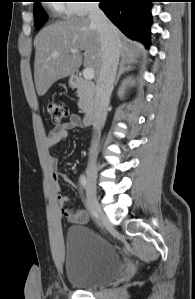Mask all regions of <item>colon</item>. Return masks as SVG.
<instances>
[{"label":"colon","instance_id":"5ec220e1","mask_svg":"<svg viewBox=\"0 0 195 299\" xmlns=\"http://www.w3.org/2000/svg\"><path fill=\"white\" fill-rule=\"evenodd\" d=\"M46 108L53 124L61 123L69 114V108L65 102L49 101Z\"/></svg>","mask_w":195,"mask_h":299}]
</instances>
